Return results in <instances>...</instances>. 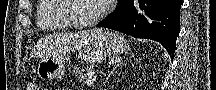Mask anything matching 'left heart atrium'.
I'll return each instance as SVG.
<instances>
[{
	"instance_id": "left-heart-atrium-1",
	"label": "left heart atrium",
	"mask_w": 216,
	"mask_h": 90,
	"mask_svg": "<svg viewBox=\"0 0 216 90\" xmlns=\"http://www.w3.org/2000/svg\"><path fill=\"white\" fill-rule=\"evenodd\" d=\"M100 3H113L114 0H99Z\"/></svg>"
}]
</instances>
